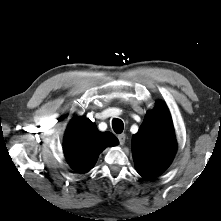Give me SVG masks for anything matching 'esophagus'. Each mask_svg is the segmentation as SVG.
Listing matches in <instances>:
<instances>
[{
    "mask_svg": "<svg viewBox=\"0 0 221 221\" xmlns=\"http://www.w3.org/2000/svg\"><path fill=\"white\" fill-rule=\"evenodd\" d=\"M126 135L125 134H120L118 135V140L120 145H123L125 143Z\"/></svg>",
    "mask_w": 221,
    "mask_h": 221,
    "instance_id": "obj_1",
    "label": "esophagus"
}]
</instances>
